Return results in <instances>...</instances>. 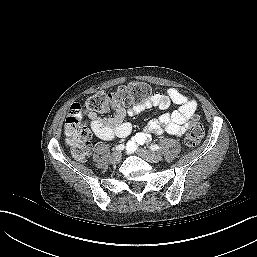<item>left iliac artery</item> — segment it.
<instances>
[{
  "label": "left iliac artery",
  "mask_w": 257,
  "mask_h": 257,
  "mask_svg": "<svg viewBox=\"0 0 257 257\" xmlns=\"http://www.w3.org/2000/svg\"><path fill=\"white\" fill-rule=\"evenodd\" d=\"M150 149H151L152 151H156V150L159 149V146H158L157 144H153V145L150 146Z\"/></svg>",
  "instance_id": "obj_1"
}]
</instances>
